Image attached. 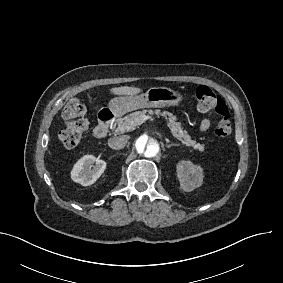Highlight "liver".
<instances>
[{
  "label": "liver",
  "instance_id": "obj_1",
  "mask_svg": "<svg viewBox=\"0 0 283 283\" xmlns=\"http://www.w3.org/2000/svg\"><path fill=\"white\" fill-rule=\"evenodd\" d=\"M110 91L115 95H136L141 92V89L137 87L123 86L112 88Z\"/></svg>",
  "mask_w": 283,
  "mask_h": 283
}]
</instances>
